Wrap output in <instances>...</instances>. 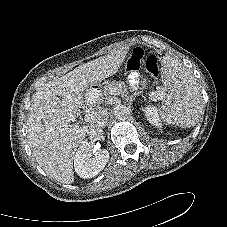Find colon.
<instances>
[{
    "instance_id": "obj_1",
    "label": "colon",
    "mask_w": 227,
    "mask_h": 227,
    "mask_svg": "<svg viewBox=\"0 0 227 227\" xmlns=\"http://www.w3.org/2000/svg\"><path fill=\"white\" fill-rule=\"evenodd\" d=\"M142 66L155 81L158 79L159 67L156 56L152 54L146 55L142 48L136 47L127 58L125 68L128 71H136Z\"/></svg>"
}]
</instances>
